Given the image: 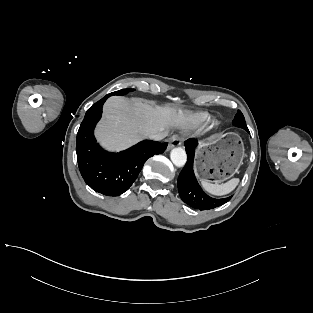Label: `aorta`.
<instances>
[{
  "instance_id": "obj_1",
  "label": "aorta",
  "mask_w": 313,
  "mask_h": 313,
  "mask_svg": "<svg viewBox=\"0 0 313 313\" xmlns=\"http://www.w3.org/2000/svg\"><path fill=\"white\" fill-rule=\"evenodd\" d=\"M170 158L173 164L177 167H182L187 161V155L183 148L177 147L172 149L170 153Z\"/></svg>"
}]
</instances>
